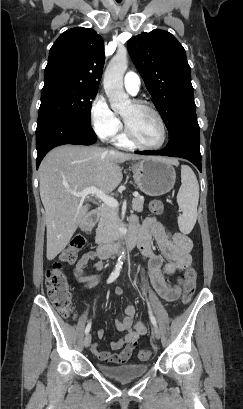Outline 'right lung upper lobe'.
<instances>
[{
    "label": "right lung upper lobe",
    "mask_w": 243,
    "mask_h": 409,
    "mask_svg": "<svg viewBox=\"0 0 243 409\" xmlns=\"http://www.w3.org/2000/svg\"><path fill=\"white\" fill-rule=\"evenodd\" d=\"M104 65V42L93 29L62 33L49 52L44 81L63 80L98 89Z\"/></svg>",
    "instance_id": "cb5924a9"
}]
</instances>
